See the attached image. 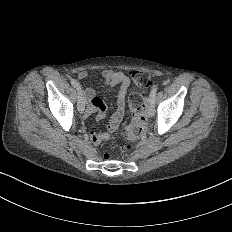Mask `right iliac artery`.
<instances>
[{
  "mask_svg": "<svg viewBox=\"0 0 232 232\" xmlns=\"http://www.w3.org/2000/svg\"><path fill=\"white\" fill-rule=\"evenodd\" d=\"M71 84H72L77 90H81V87H80L79 83H78L76 80L72 79V80H71Z\"/></svg>",
  "mask_w": 232,
  "mask_h": 232,
  "instance_id": "82829eb1",
  "label": "right iliac artery"
}]
</instances>
